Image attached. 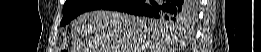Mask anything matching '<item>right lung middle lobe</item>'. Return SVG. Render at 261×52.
I'll list each match as a JSON object with an SVG mask.
<instances>
[{
	"label": "right lung middle lobe",
	"instance_id": "obj_1",
	"mask_svg": "<svg viewBox=\"0 0 261 52\" xmlns=\"http://www.w3.org/2000/svg\"><path fill=\"white\" fill-rule=\"evenodd\" d=\"M113 2V0H67L63 6V19L60 26L68 24L72 19L83 12L102 9ZM193 6L194 4L191 1L187 2V7L189 8L181 15L160 16L158 18L161 21H168L170 24H173V22L181 23L186 19V16H188V13L193 9Z\"/></svg>",
	"mask_w": 261,
	"mask_h": 52
}]
</instances>
